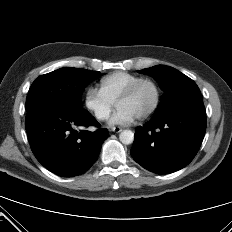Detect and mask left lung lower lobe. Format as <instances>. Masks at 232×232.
<instances>
[{
	"mask_svg": "<svg viewBox=\"0 0 232 232\" xmlns=\"http://www.w3.org/2000/svg\"><path fill=\"white\" fill-rule=\"evenodd\" d=\"M206 131L202 96L171 107L153 116L135 131L133 159L145 169L168 174L188 165L197 154Z\"/></svg>",
	"mask_w": 232,
	"mask_h": 232,
	"instance_id": "0a47b994",
	"label": "left lung lower lobe"
}]
</instances>
